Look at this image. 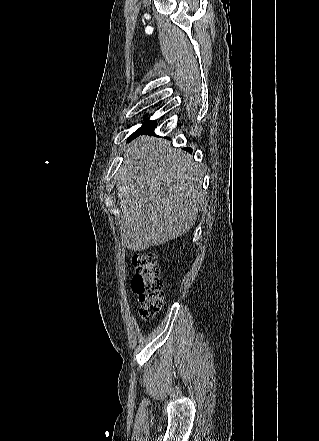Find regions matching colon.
<instances>
[{
	"mask_svg": "<svg viewBox=\"0 0 319 441\" xmlns=\"http://www.w3.org/2000/svg\"><path fill=\"white\" fill-rule=\"evenodd\" d=\"M132 263L136 273L131 286L140 303V315L146 320H153L164 298L156 255L153 252H137L132 256Z\"/></svg>",
	"mask_w": 319,
	"mask_h": 441,
	"instance_id": "colon-1",
	"label": "colon"
}]
</instances>
